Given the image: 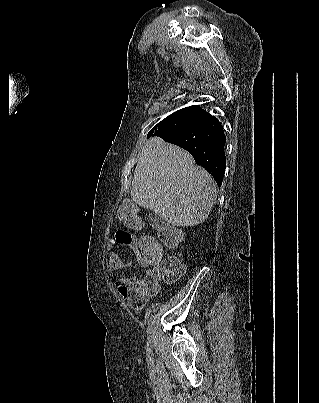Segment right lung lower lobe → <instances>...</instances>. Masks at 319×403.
I'll use <instances>...</instances> for the list:
<instances>
[{"label":"right lung lower lobe","instance_id":"98d812e1","mask_svg":"<svg viewBox=\"0 0 319 403\" xmlns=\"http://www.w3.org/2000/svg\"><path fill=\"white\" fill-rule=\"evenodd\" d=\"M187 150L221 186L226 168L225 134L217 118L209 115L186 126L165 128L153 134Z\"/></svg>","mask_w":319,"mask_h":403}]
</instances>
